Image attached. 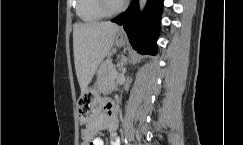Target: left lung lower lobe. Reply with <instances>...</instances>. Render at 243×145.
Returning <instances> with one entry per match:
<instances>
[{
  "label": "left lung lower lobe",
  "instance_id": "obj_1",
  "mask_svg": "<svg viewBox=\"0 0 243 145\" xmlns=\"http://www.w3.org/2000/svg\"><path fill=\"white\" fill-rule=\"evenodd\" d=\"M163 0H148L139 17V1L132 0L128 9L111 21L123 25L133 47L142 54H156V40Z\"/></svg>",
  "mask_w": 243,
  "mask_h": 145
}]
</instances>
